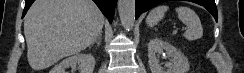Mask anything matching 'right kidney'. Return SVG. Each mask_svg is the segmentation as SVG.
I'll use <instances>...</instances> for the list:
<instances>
[{"instance_id": "ca27d5eb", "label": "right kidney", "mask_w": 244, "mask_h": 73, "mask_svg": "<svg viewBox=\"0 0 244 73\" xmlns=\"http://www.w3.org/2000/svg\"><path fill=\"white\" fill-rule=\"evenodd\" d=\"M78 65L80 73H93L95 67V59L91 54H77L68 57L55 65L50 73H65L69 67L76 68Z\"/></svg>"}]
</instances>
